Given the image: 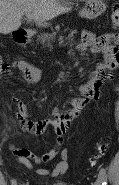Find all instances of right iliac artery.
<instances>
[{
	"label": "right iliac artery",
	"instance_id": "right-iliac-artery-1",
	"mask_svg": "<svg viewBox=\"0 0 119 185\" xmlns=\"http://www.w3.org/2000/svg\"><path fill=\"white\" fill-rule=\"evenodd\" d=\"M11 185H17L16 180H13Z\"/></svg>",
	"mask_w": 119,
	"mask_h": 185
}]
</instances>
